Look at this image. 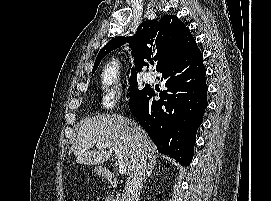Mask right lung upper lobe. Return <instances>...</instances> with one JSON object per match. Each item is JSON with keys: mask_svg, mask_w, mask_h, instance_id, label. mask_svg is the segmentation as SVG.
Wrapping results in <instances>:
<instances>
[{"mask_svg": "<svg viewBox=\"0 0 271 201\" xmlns=\"http://www.w3.org/2000/svg\"><path fill=\"white\" fill-rule=\"evenodd\" d=\"M189 29L175 15L163 16L160 20L142 22L134 36H118L110 40L98 53L92 73L97 69L101 59L112 50L129 42L135 60L136 71L147 65L146 61H157L156 71L168 62L181 48L185 40L191 38Z\"/></svg>", "mask_w": 271, "mask_h": 201, "instance_id": "1", "label": "right lung upper lobe"}]
</instances>
